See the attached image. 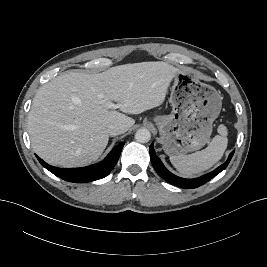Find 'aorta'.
Wrapping results in <instances>:
<instances>
[{"instance_id": "762f6f07", "label": "aorta", "mask_w": 267, "mask_h": 267, "mask_svg": "<svg viewBox=\"0 0 267 267\" xmlns=\"http://www.w3.org/2000/svg\"><path fill=\"white\" fill-rule=\"evenodd\" d=\"M135 139L140 143H147L151 139V133L148 129L142 128L135 133Z\"/></svg>"}]
</instances>
